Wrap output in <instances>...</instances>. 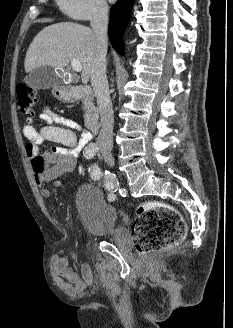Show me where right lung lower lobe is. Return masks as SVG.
Masks as SVG:
<instances>
[{
    "instance_id": "obj_1",
    "label": "right lung lower lobe",
    "mask_w": 233,
    "mask_h": 328,
    "mask_svg": "<svg viewBox=\"0 0 233 328\" xmlns=\"http://www.w3.org/2000/svg\"><path fill=\"white\" fill-rule=\"evenodd\" d=\"M134 0H120L111 7L109 36L114 49L124 55L123 34L128 23Z\"/></svg>"
}]
</instances>
